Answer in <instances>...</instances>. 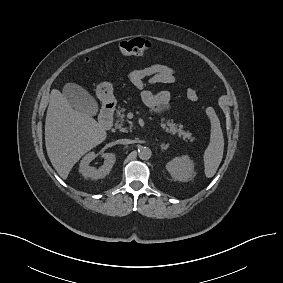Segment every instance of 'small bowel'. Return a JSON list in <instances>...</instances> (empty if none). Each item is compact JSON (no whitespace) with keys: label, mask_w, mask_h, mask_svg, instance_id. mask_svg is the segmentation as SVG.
<instances>
[{"label":"small bowel","mask_w":283,"mask_h":283,"mask_svg":"<svg viewBox=\"0 0 283 283\" xmlns=\"http://www.w3.org/2000/svg\"><path fill=\"white\" fill-rule=\"evenodd\" d=\"M128 78L136 88L143 90L141 98L154 112H162L169 107L171 95L168 91L154 92L146 87L157 83H175L176 73L173 68L163 64H155L132 70L128 74Z\"/></svg>","instance_id":"1"}]
</instances>
